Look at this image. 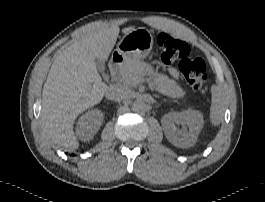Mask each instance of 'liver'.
<instances>
[{"label":"liver","mask_w":265,"mask_h":202,"mask_svg":"<svg viewBox=\"0 0 265 202\" xmlns=\"http://www.w3.org/2000/svg\"><path fill=\"white\" fill-rule=\"evenodd\" d=\"M133 30L127 27L122 32ZM119 31L117 24L91 23L80 40L56 55L43 86L41 110L43 130L54 143L70 150L79 147L73 130L75 119L98 104L108 89L95 59L106 62Z\"/></svg>","instance_id":"liver-1"}]
</instances>
